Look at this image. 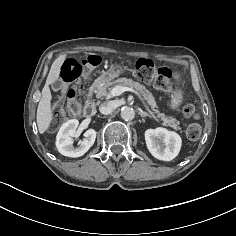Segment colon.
Listing matches in <instances>:
<instances>
[{
	"instance_id": "1",
	"label": "colon",
	"mask_w": 236,
	"mask_h": 236,
	"mask_svg": "<svg viewBox=\"0 0 236 236\" xmlns=\"http://www.w3.org/2000/svg\"><path fill=\"white\" fill-rule=\"evenodd\" d=\"M99 60L95 56L84 59L68 58L61 65V78L70 84L67 90V101L64 108L54 111L50 129L55 130L67 116L79 115L82 111L80 93L83 88L81 77L87 75L93 68L98 66ZM137 76L144 82L152 84L155 88L164 92H171L173 87L170 82L171 72L168 68L156 65L150 59H139L135 65ZM183 115L187 119H197L196 108L191 105L183 107ZM201 134V126L192 122L187 126L186 135L190 140H197Z\"/></svg>"
}]
</instances>
